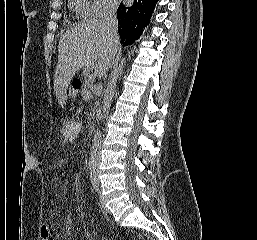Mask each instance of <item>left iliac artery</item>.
Wrapping results in <instances>:
<instances>
[{
    "label": "left iliac artery",
    "mask_w": 257,
    "mask_h": 240,
    "mask_svg": "<svg viewBox=\"0 0 257 240\" xmlns=\"http://www.w3.org/2000/svg\"><path fill=\"white\" fill-rule=\"evenodd\" d=\"M93 187L96 191H98V184L96 181L93 182Z\"/></svg>",
    "instance_id": "44dca946"
}]
</instances>
